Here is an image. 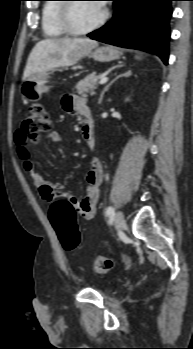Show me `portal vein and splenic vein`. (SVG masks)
<instances>
[{
  "mask_svg": "<svg viewBox=\"0 0 193 349\" xmlns=\"http://www.w3.org/2000/svg\"><path fill=\"white\" fill-rule=\"evenodd\" d=\"M108 81V77H102L99 81L100 84H104Z\"/></svg>",
  "mask_w": 193,
  "mask_h": 349,
  "instance_id": "obj_1",
  "label": "portal vein and splenic vein"
}]
</instances>
